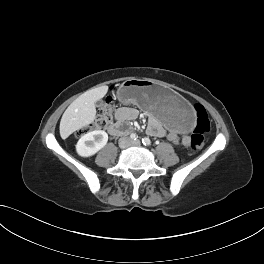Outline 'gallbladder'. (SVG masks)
<instances>
[{"label":"gallbladder","instance_id":"gallbladder-1","mask_svg":"<svg viewBox=\"0 0 264 264\" xmlns=\"http://www.w3.org/2000/svg\"><path fill=\"white\" fill-rule=\"evenodd\" d=\"M95 104H96L97 106H100V105L102 104V101H101L100 99H97V100L95 101Z\"/></svg>","mask_w":264,"mask_h":264}]
</instances>
